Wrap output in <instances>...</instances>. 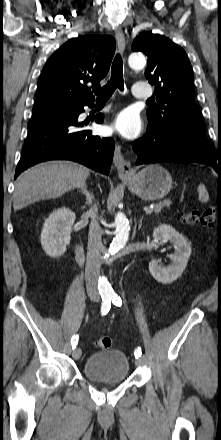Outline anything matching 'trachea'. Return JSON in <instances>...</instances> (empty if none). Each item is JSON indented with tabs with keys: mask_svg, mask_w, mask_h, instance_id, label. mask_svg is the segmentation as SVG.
Instances as JSON below:
<instances>
[{
	"mask_svg": "<svg viewBox=\"0 0 221 440\" xmlns=\"http://www.w3.org/2000/svg\"><path fill=\"white\" fill-rule=\"evenodd\" d=\"M116 88H119L121 91L124 90L123 61L120 54H117L113 61L110 80L104 87L96 88L93 91L97 99H108L112 96Z\"/></svg>",
	"mask_w": 221,
	"mask_h": 440,
	"instance_id": "3493384b",
	"label": "trachea"
}]
</instances>
